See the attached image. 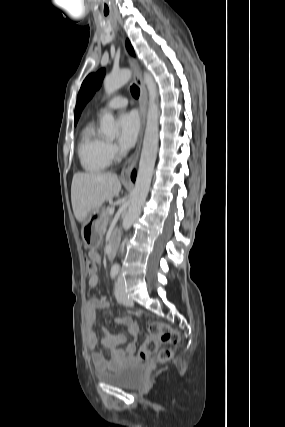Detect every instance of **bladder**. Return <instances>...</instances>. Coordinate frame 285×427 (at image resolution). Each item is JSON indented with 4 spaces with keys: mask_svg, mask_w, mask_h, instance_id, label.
Instances as JSON below:
<instances>
[{
    "mask_svg": "<svg viewBox=\"0 0 285 427\" xmlns=\"http://www.w3.org/2000/svg\"><path fill=\"white\" fill-rule=\"evenodd\" d=\"M97 378L104 384L120 388H135L143 379V366L132 364L118 370L98 373Z\"/></svg>",
    "mask_w": 285,
    "mask_h": 427,
    "instance_id": "obj_1",
    "label": "bladder"
}]
</instances>
